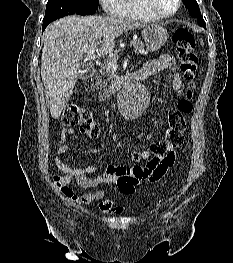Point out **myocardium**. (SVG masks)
Returning <instances> with one entry per match:
<instances>
[{"mask_svg": "<svg viewBox=\"0 0 233 263\" xmlns=\"http://www.w3.org/2000/svg\"><path fill=\"white\" fill-rule=\"evenodd\" d=\"M146 3H147V6L149 7V9L155 15H157L160 18H169V17L174 16L178 12V10L180 9V6H181V0H176V7H175V9L173 11L169 12V13H166V12L161 11L157 7L155 0H146Z\"/></svg>", "mask_w": 233, "mask_h": 263, "instance_id": "1", "label": "myocardium"}]
</instances>
